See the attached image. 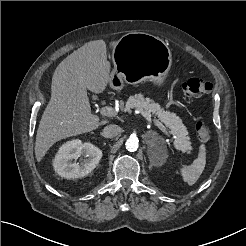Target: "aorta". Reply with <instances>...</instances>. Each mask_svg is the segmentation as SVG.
<instances>
[{
	"mask_svg": "<svg viewBox=\"0 0 246 246\" xmlns=\"http://www.w3.org/2000/svg\"><path fill=\"white\" fill-rule=\"evenodd\" d=\"M126 149L130 152H134L138 149L139 147V141L137 138L130 137L127 139L125 143Z\"/></svg>",
	"mask_w": 246,
	"mask_h": 246,
	"instance_id": "1",
	"label": "aorta"
}]
</instances>
